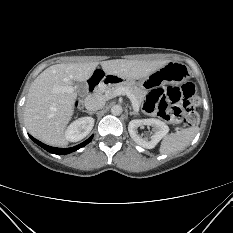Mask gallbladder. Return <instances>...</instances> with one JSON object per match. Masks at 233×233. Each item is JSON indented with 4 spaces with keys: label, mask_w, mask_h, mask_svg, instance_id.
<instances>
[{
    "label": "gallbladder",
    "mask_w": 233,
    "mask_h": 233,
    "mask_svg": "<svg viewBox=\"0 0 233 233\" xmlns=\"http://www.w3.org/2000/svg\"><path fill=\"white\" fill-rule=\"evenodd\" d=\"M74 86L81 93H83L85 91V84L84 83L74 82Z\"/></svg>",
    "instance_id": "obj_1"
}]
</instances>
